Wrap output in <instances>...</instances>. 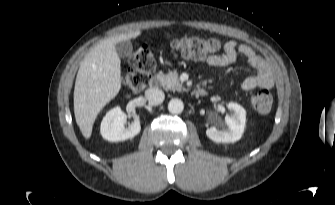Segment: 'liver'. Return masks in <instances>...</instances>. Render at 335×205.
<instances>
[{
  "label": "liver",
  "mask_w": 335,
  "mask_h": 205,
  "mask_svg": "<svg viewBox=\"0 0 335 205\" xmlns=\"http://www.w3.org/2000/svg\"><path fill=\"white\" fill-rule=\"evenodd\" d=\"M140 34V31H134L106 39L97 44L82 61L74 88V114L86 139L91 137L94 121L100 111L121 89L120 58L115 45Z\"/></svg>",
  "instance_id": "6515ba94"
}]
</instances>
